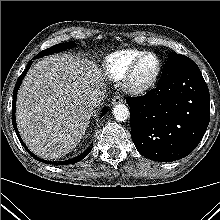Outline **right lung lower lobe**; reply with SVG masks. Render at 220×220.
<instances>
[{"label":"right lung lower lobe","mask_w":220,"mask_h":220,"mask_svg":"<svg viewBox=\"0 0 220 220\" xmlns=\"http://www.w3.org/2000/svg\"><path fill=\"white\" fill-rule=\"evenodd\" d=\"M35 59V58H33ZM32 64V61H30L28 63V66L27 68L23 71V73L20 75V77L18 78L17 82H16V85H15V88H14V91H13V102H12V123H13V126H14V129L17 133V136L19 138V140L21 141L23 147L27 150V152L32 156L34 157L35 159L39 160V161H43L44 163H48V164H55V165H66V164H74L76 162H79L80 160H82L83 158H85L89 152L91 151L92 147L91 148H88L83 154H81L80 156L74 158V159H70V160H66V161H54V162H50V161H46V160H42L38 157H36L34 154H32L28 149L27 147L25 146V144L23 143L20 135H19V132H18V129H17V126H16V118H15V108H16V95H17V92H18V89L21 85V82L25 76V74L27 73V71L29 70V67L31 66ZM108 108L105 107L103 110H102V116L104 114L107 113V110Z\"/></svg>","instance_id":"right-lung-lower-lobe-1"}]
</instances>
